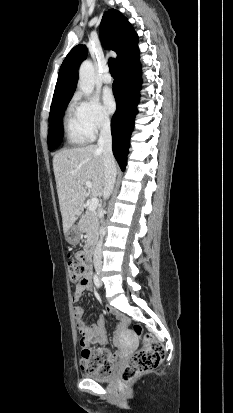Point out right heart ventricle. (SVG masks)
Instances as JSON below:
<instances>
[{
    "instance_id": "right-heart-ventricle-1",
    "label": "right heart ventricle",
    "mask_w": 233,
    "mask_h": 413,
    "mask_svg": "<svg viewBox=\"0 0 233 413\" xmlns=\"http://www.w3.org/2000/svg\"><path fill=\"white\" fill-rule=\"evenodd\" d=\"M64 133L69 145L77 146L89 142L92 137L86 130L78 106L71 104L64 117Z\"/></svg>"
}]
</instances>
